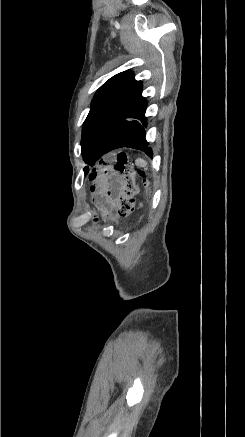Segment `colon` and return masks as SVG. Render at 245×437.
<instances>
[{
	"mask_svg": "<svg viewBox=\"0 0 245 437\" xmlns=\"http://www.w3.org/2000/svg\"><path fill=\"white\" fill-rule=\"evenodd\" d=\"M114 170L120 172L123 177V186L119 194L118 213L126 216L136 208L137 186L135 183L136 169L128 156L121 153L117 156L113 165ZM143 174L142 172H140Z\"/></svg>",
	"mask_w": 245,
	"mask_h": 437,
	"instance_id": "obj_1",
	"label": "colon"
}]
</instances>
